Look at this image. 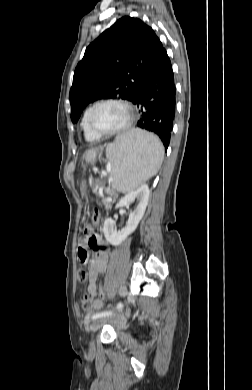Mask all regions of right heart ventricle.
<instances>
[{
  "mask_svg": "<svg viewBox=\"0 0 252 390\" xmlns=\"http://www.w3.org/2000/svg\"><path fill=\"white\" fill-rule=\"evenodd\" d=\"M91 107L92 106H88L85 109L83 117H82V121H81V126H82L83 133H84L86 140H88L90 142H95V141L100 140L101 136L96 134L95 132H93L89 127L88 117H89V112H90Z\"/></svg>",
  "mask_w": 252,
  "mask_h": 390,
  "instance_id": "1",
  "label": "right heart ventricle"
}]
</instances>
